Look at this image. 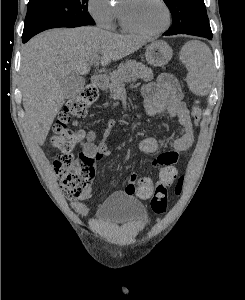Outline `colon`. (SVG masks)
<instances>
[{"instance_id": "5ec220e1", "label": "colon", "mask_w": 245, "mask_h": 300, "mask_svg": "<svg viewBox=\"0 0 245 300\" xmlns=\"http://www.w3.org/2000/svg\"><path fill=\"white\" fill-rule=\"evenodd\" d=\"M98 97V90L93 85L85 86L77 95L72 97L60 113L54 125V135L50 140L53 148L61 151L54 160V168L61 182L62 188L70 199H77L86 191L94 177V160L83 155L74 159L70 154L73 147L82 141L83 134L70 129L75 125V118L87 114L89 107ZM192 117L195 123L201 118V111L197 104L192 108ZM183 177H180L175 186V193L179 195L183 188ZM137 195L141 198H150V205L155 213H164L167 210L166 190H155L148 178L139 180L136 187Z\"/></svg>"}]
</instances>
